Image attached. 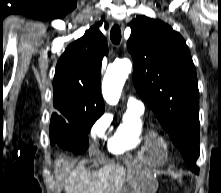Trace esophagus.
Returning <instances> with one entry per match:
<instances>
[{"label":"esophagus","mask_w":221,"mask_h":193,"mask_svg":"<svg viewBox=\"0 0 221 193\" xmlns=\"http://www.w3.org/2000/svg\"><path fill=\"white\" fill-rule=\"evenodd\" d=\"M118 24L121 26V28H123V23L118 21Z\"/></svg>","instance_id":"1"}]
</instances>
